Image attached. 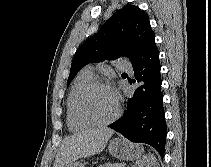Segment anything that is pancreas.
I'll list each match as a JSON object with an SVG mask.
<instances>
[{
  "mask_svg": "<svg viewBox=\"0 0 211 167\" xmlns=\"http://www.w3.org/2000/svg\"><path fill=\"white\" fill-rule=\"evenodd\" d=\"M99 167H124V166L122 164H119V163L107 162L103 165H100Z\"/></svg>",
  "mask_w": 211,
  "mask_h": 167,
  "instance_id": "1",
  "label": "pancreas"
}]
</instances>
